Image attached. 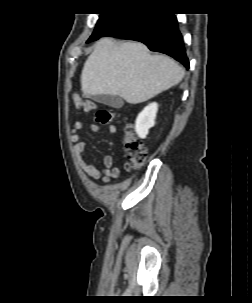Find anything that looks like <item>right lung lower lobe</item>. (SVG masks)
<instances>
[{
  "instance_id": "98d812e1",
  "label": "right lung lower lobe",
  "mask_w": 252,
  "mask_h": 303,
  "mask_svg": "<svg viewBox=\"0 0 252 303\" xmlns=\"http://www.w3.org/2000/svg\"><path fill=\"white\" fill-rule=\"evenodd\" d=\"M104 36L142 42L150 50L167 54L189 69L174 14L154 11L126 12L101 37Z\"/></svg>"
}]
</instances>
